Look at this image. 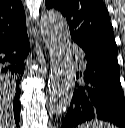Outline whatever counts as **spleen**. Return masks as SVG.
Returning a JSON list of instances; mask_svg holds the SVG:
<instances>
[{"mask_svg": "<svg viewBox=\"0 0 125 128\" xmlns=\"http://www.w3.org/2000/svg\"><path fill=\"white\" fill-rule=\"evenodd\" d=\"M78 128H114L113 125L107 122H102L97 119H94L90 122L80 125Z\"/></svg>", "mask_w": 125, "mask_h": 128, "instance_id": "1", "label": "spleen"}]
</instances>
